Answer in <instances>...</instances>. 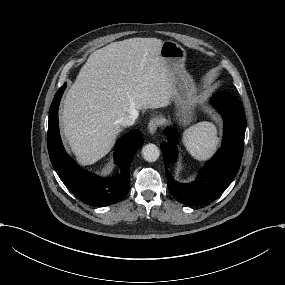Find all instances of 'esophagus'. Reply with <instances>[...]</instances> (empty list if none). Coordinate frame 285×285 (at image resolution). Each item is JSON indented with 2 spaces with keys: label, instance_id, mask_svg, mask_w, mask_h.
<instances>
[{
  "label": "esophagus",
  "instance_id": "esophagus-1",
  "mask_svg": "<svg viewBox=\"0 0 285 285\" xmlns=\"http://www.w3.org/2000/svg\"><path fill=\"white\" fill-rule=\"evenodd\" d=\"M160 122L157 118H153L148 123V130L150 134H154L159 126Z\"/></svg>",
  "mask_w": 285,
  "mask_h": 285
}]
</instances>
